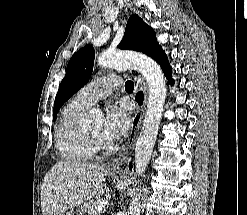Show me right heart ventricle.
Wrapping results in <instances>:
<instances>
[{"mask_svg": "<svg viewBox=\"0 0 247 215\" xmlns=\"http://www.w3.org/2000/svg\"><path fill=\"white\" fill-rule=\"evenodd\" d=\"M86 109L73 99L62 110L55 140L61 157L67 162H87L96 152V147L80 125Z\"/></svg>", "mask_w": 247, "mask_h": 215, "instance_id": "e07e8e85", "label": "right heart ventricle"}]
</instances>
